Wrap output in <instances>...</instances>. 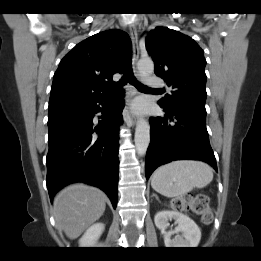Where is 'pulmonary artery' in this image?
Wrapping results in <instances>:
<instances>
[{
	"label": "pulmonary artery",
	"instance_id": "1",
	"mask_svg": "<svg viewBox=\"0 0 261 261\" xmlns=\"http://www.w3.org/2000/svg\"><path fill=\"white\" fill-rule=\"evenodd\" d=\"M148 84L152 89H162L164 87V81L161 78L148 76L147 77Z\"/></svg>",
	"mask_w": 261,
	"mask_h": 261
}]
</instances>
